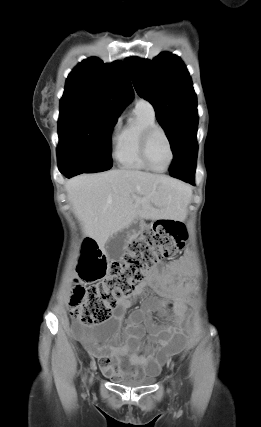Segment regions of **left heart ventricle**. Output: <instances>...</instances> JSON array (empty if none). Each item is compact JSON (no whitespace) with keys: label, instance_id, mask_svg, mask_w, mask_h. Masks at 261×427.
I'll use <instances>...</instances> for the list:
<instances>
[{"label":"left heart ventricle","instance_id":"obj_1","mask_svg":"<svg viewBox=\"0 0 261 427\" xmlns=\"http://www.w3.org/2000/svg\"><path fill=\"white\" fill-rule=\"evenodd\" d=\"M148 156L151 164L157 169H163L166 167L169 158L170 151L168 144L162 134H155L149 145Z\"/></svg>","mask_w":261,"mask_h":427}]
</instances>
